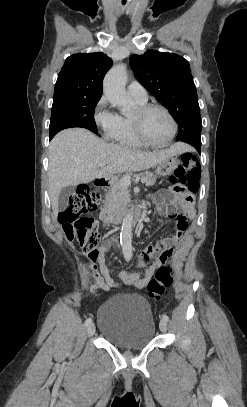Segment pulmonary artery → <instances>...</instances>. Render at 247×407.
I'll use <instances>...</instances> for the list:
<instances>
[{
    "label": "pulmonary artery",
    "instance_id": "e3ab8cb5",
    "mask_svg": "<svg viewBox=\"0 0 247 407\" xmlns=\"http://www.w3.org/2000/svg\"><path fill=\"white\" fill-rule=\"evenodd\" d=\"M129 95L136 101L146 102L148 99L147 91L137 81H132L127 87Z\"/></svg>",
    "mask_w": 247,
    "mask_h": 407
}]
</instances>
